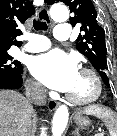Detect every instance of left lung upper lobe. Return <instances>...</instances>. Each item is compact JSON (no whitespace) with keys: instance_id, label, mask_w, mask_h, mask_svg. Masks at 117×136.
I'll use <instances>...</instances> for the list:
<instances>
[{"instance_id":"5c2ea615","label":"left lung upper lobe","mask_w":117,"mask_h":136,"mask_svg":"<svg viewBox=\"0 0 117 136\" xmlns=\"http://www.w3.org/2000/svg\"><path fill=\"white\" fill-rule=\"evenodd\" d=\"M46 2L50 5L54 3L53 0H46ZM62 2L74 13V16L70 17L71 24L80 25L83 31V34L78 36L77 50L88 58L109 87V78L106 74L108 66L105 33L96 20L97 13L93 3L91 0H63Z\"/></svg>"}]
</instances>
